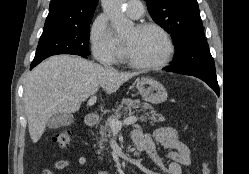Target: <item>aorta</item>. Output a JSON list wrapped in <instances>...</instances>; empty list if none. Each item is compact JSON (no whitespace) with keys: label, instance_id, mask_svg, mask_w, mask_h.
Returning <instances> with one entry per match:
<instances>
[{"label":"aorta","instance_id":"762f6f07","mask_svg":"<svg viewBox=\"0 0 249 174\" xmlns=\"http://www.w3.org/2000/svg\"><path fill=\"white\" fill-rule=\"evenodd\" d=\"M126 0H102L105 13L119 35H124L133 28V23L123 13V5Z\"/></svg>","mask_w":249,"mask_h":174}]
</instances>
